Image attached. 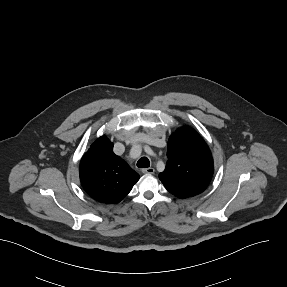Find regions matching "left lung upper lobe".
<instances>
[{
  "mask_svg": "<svg viewBox=\"0 0 287 287\" xmlns=\"http://www.w3.org/2000/svg\"><path fill=\"white\" fill-rule=\"evenodd\" d=\"M168 161L159 179L181 199L203 192L213 175V159L203 138L192 128L182 127L168 140Z\"/></svg>",
  "mask_w": 287,
  "mask_h": 287,
  "instance_id": "5c2ea615",
  "label": "left lung upper lobe"
}]
</instances>
